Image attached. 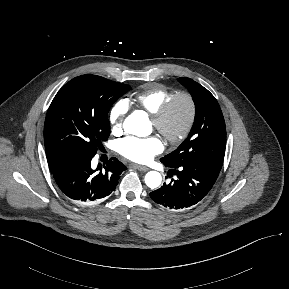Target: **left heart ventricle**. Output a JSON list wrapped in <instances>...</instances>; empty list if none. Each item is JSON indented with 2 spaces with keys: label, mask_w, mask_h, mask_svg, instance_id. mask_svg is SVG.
<instances>
[{
  "label": "left heart ventricle",
  "mask_w": 289,
  "mask_h": 289,
  "mask_svg": "<svg viewBox=\"0 0 289 289\" xmlns=\"http://www.w3.org/2000/svg\"><path fill=\"white\" fill-rule=\"evenodd\" d=\"M189 114L186 100H179L169 116L167 127L170 133L175 134L182 129Z\"/></svg>",
  "instance_id": "left-heart-ventricle-1"
}]
</instances>
